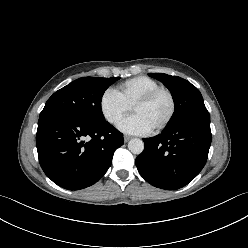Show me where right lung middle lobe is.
Listing matches in <instances>:
<instances>
[{
    "label": "right lung middle lobe",
    "mask_w": 248,
    "mask_h": 248,
    "mask_svg": "<svg viewBox=\"0 0 248 248\" xmlns=\"http://www.w3.org/2000/svg\"><path fill=\"white\" fill-rule=\"evenodd\" d=\"M120 77H82L56 91L46 102L40 116L68 113L78 117L104 121L101 100L105 90Z\"/></svg>",
    "instance_id": "obj_1"
}]
</instances>
